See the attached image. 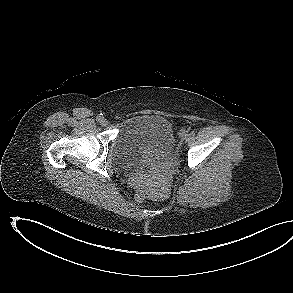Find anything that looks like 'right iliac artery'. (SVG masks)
I'll use <instances>...</instances> for the list:
<instances>
[{
    "label": "right iliac artery",
    "mask_w": 293,
    "mask_h": 293,
    "mask_svg": "<svg viewBox=\"0 0 293 293\" xmlns=\"http://www.w3.org/2000/svg\"><path fill=\"white\" fill-rule=\"evenodd\" d=\"M102 119H103L102 114H100L99 116H97V120H98L99 122H101Z\"/></svg>",
    "instance_id": "right-iliac-artery-1"
}]
</instances>
